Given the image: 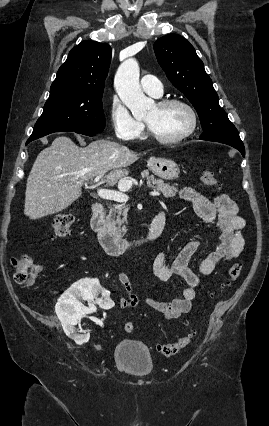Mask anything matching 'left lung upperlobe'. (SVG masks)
<instances>
[{"label": "left lung upper lobe", "instance_id": "obj_1", "mask_svg": "<svg viewBox=\"0 0 269 426\" xmlns=\"http://www.w3.org/2000/svg\"><path fill=\"white\" fill-rule=\"evenodd\" d=\"M158 63L171 83L196 109L204 138L238 134L236 127L219 106L218 95L194 47L178 34H168L154 43Z\"/></svg>", "mask_w": 269, "mask_h": 426}]
</instances>
